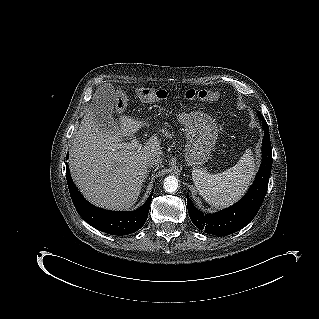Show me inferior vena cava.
<instances>
[{
	"mask_svg": "<svg viewBox=\"0 0 319 319\" xmlns=\"http://www.w3.org/2000/svg\"><path fill=\"white\" fill-rule=\"evenodd\" d=\"M162 161H163L162 157L160 155L156 154V155L149 157L146 160V165L149 168H153V167L159 166L162 163Z\"/></svg>",
	"mask_w": 319,
	"mask_h": 319,
	"instance_id": "602c4592",
	"label": "inferior vena cava"
}]
</instances>
